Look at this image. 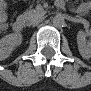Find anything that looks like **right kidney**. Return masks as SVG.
Instances as JSON below:
<instances>
[{"label": "right kidney", "mask_w": 91, "mask_h": 91, "mask_svg": "<svg viewBox=\"0 0 91 91\" xmlns=\"http://www.w3.org/2000/svg\"><path fill=\"white\" fill-rule=\"evenodd\" d=\"M22 35L20 33H12L0 39V58L6 59L10 56L13 49L21 43Z\"/></svg>", "instance_id": "obj_1"}]
</instances>
